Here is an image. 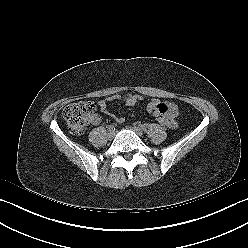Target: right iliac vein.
<instances>
[{
  "label": "right iliac vein",
  "instance_id": "right-iliac-vein-1",
  "mask_svg": "<svg viewBox=\"0 0 248 248\" xmlns=\"http://www.w3.org/2000/svg\"><path fill=\"white\" fill-rule=\"evenodd\" d=\"M114 135H115L114 130H109V131H108V138H109V139L113 138Z\"/></svg>",
  "mask_w": 248,
  "mask_h": 248
}]
</instances>
